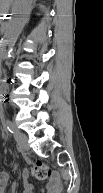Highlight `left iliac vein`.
I'll return each instance as SVG.
<instances>
[{"label": "left iliac vein", "mask_w": 103, "mask_h": 193, "mask_svg": "<svg viewBox=\"0 0 103 193\" xmlns=\"http://www.w3.org/2000/svg\"><path fill=\"white\" fill-rule=\"evenodd\" d=\"M14 138H15L17 144L19 145L20 149H22V150H28L29 149L28 138L24 133H22L21 131L16 129L14 132Z\"/></svg>", "instance_id": "left-iliac-vein-1"}]
</instances>
